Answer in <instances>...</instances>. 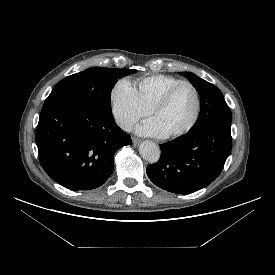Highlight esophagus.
I'll return each instance as SVG.
<instances>
[{
  "mask_svg": "<svg viewBox=\"0 0 275 275\" xmlns=\"http://www.w3.org/2000/svg\"><path fill=\"white\" fill-rule=\"evenodd\" d=\"M132 141L134 146H138L141 143V140L135 137L132 139Z\"/></svg>",
  "mask_w": 275,
  "mask_h": 275,
  "instance_id": "obj_1",
  "label": "esophagus"
}]
</instances>
